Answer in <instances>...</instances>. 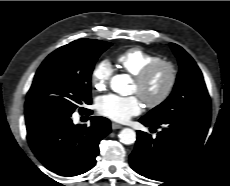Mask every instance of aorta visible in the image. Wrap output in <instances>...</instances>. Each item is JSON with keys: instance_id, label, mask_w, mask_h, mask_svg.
I'll return each mask as SVG.
<instances>
[{"instance_id": "762f6f07", "label": "aorta", "mask_w": 230, "mask_h": 186, "mask_svg": "<svg viewBox=\"0 0 230 186\" xmlns=\"http://www.w3.org/2000/svg\"><path fill=\"white\" fill-rule=\"evenodd\" d=\"M128 83L129 81L126 75H116L111 80V88L113 91L123 94ZM119 139L123 144H133L136 141V133L130 128H124L119 133Z\"/></svg>"}]
</instances>
